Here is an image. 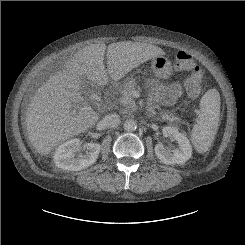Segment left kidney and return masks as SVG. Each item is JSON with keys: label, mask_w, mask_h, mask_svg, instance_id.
Segmentation results:
<instances>
[{"label": "left kidney", "mask_w": 245, "mask_h": 245, "mask_svg": "<svg viewBox=\"0 0 245 245\" xmlns=\"http://www.w3.org/2000/svg\"><path fill=\"white\" fill-rule=\"evenodd\" d=\"M163 135L177 142V148L167 149L162 143L155 145V154L164 164H183L192 156V146L185 134L177 128L166 126L162 129Z\"/></svg>", "instance_id": "obj_1"}]
</instances>
